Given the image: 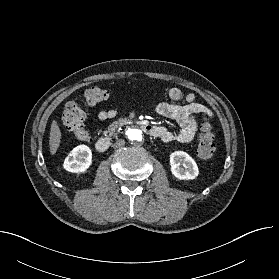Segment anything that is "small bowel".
<instances>
[{"instance_id":"1","label":"small bowel","mask_w":279,"mask_h":279,"mask_svg":"<svg viewBox=\"0 0 279 279\" xmlns=\"http://www.w3.org/2000/svg\"><path fill=\"white\" fill-rule=\"evenodd\" d=\"M167 95L174 102L183 100L184 103L161 102L155 106V111L161 116L174 119L179 124L180 130L173 132L164 126H156L158 132L155 136L164 142H191L198 130V122L195 115L201 114L211 119L213 117L212 111L205 105L197 102L194 93L185 95L179 88L170 87L167 89ZM116 115L117 111L115 109L107 108L98 113V118L101 121H105L113 119Z\"/></svg>"}]
</instances>
